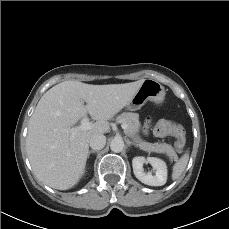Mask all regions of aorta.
I'll list each match as a JSON object with an SVG mask.
<instances>
[{
	"instance_id": "1",
	"label": "aorta",
	"mask_w": 229,
	"mask_h": 229,
	"mask_svg": "<svg viewBox=\"0 0 229 229\" xmlns=\"http://www.w3.org/2000/svg\"><path fill=\"white\" fill-rule=\"evenodd\" d=\"M110 149L115 153L123 151L124 141L121 138H114L110 143Z\"/></svg>"
}]
</instances>
